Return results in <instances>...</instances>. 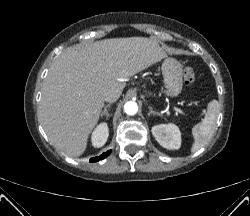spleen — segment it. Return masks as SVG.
I'll list each match as a JSON object with an SVG mask.
<instances>
[{
	"instance_id": "1",
	"label": "spleen",
	"mask_w": 250,
	"mask_h": 216,
	"mask_svg": "<svg viewBox=\"0 0 250 216\" xmlns=\"http://www.w3.org/2000/svg\"><path fill=\"white\" fill-rule=\"evenodd\" d=\"M219 111V102L217 100H212L208 103L204 119L192 128L194 138L191 148L192 153L204 147L213 136Z\"/></svg>"
}]
</instances>
